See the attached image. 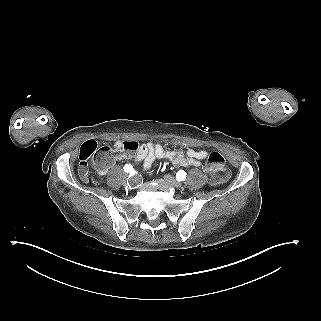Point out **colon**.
<instances>
[{
    "label": "colon",
    "mask_w": 321,
    "mask_h": 321,
    "mask_svg": "<svg viewBox=\"0 0 321 321\" xmlns=\"http://www.w3.org/2000/svg\"><path fill=\"white\" fill-rule=\"evenodd\" d=\"M140 148V144L137 141H126L123 143V149L129 153H135ZM88 152L79 156V174L82 178H89V158ZM108 158L102 155L100 152H96L92 159V164L97 166L99 163L107 161ZM205 173L207 181L212 185H218L227 180L229 171L226 166L225 159L219 152H212L207 158L205 165Z\"/></svg>",
    "instance_id": "1"
}]
</instances>
